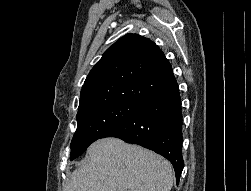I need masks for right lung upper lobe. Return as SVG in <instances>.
<instances>
[{"label": "right lung upper lobe", "mask_w": 251, "mask_h": 191, "mask_svg": "<svg viewBox=\"0 0 251 191\" xmlns=\"http://www.w3.org/2000/svg\"><path fill=\"white\" fill-rule=\"evenodd\" d=\"M175 83L162 50L145 37L126 34L88 74L78 111L108 102L142 105Z\"/></svg>", "instance_id": "1"}]
</instances>
